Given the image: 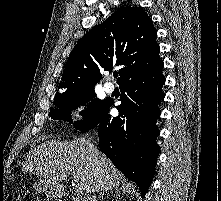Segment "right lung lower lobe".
Masks as SVG:
<instances>
[{
	"instance_id": "98d812e1",
	"label": "right lung lower lobe",
	"mask_w": 221,
	"mask_h": 201,
	"mask_svg": "<svg viewBox=\"0 0 221 201\" xmlns=\"http://www.w3.org/2000/svg\"><path fill=\"white\" fill-rule=\"evenodd\" d=\"M162 68L160 61L148 71L121 82L119 116L112 118L108 114L113 104L109 101L97 123L82 131L98 127L100 150L138 185L142 197L151 184L160 150L156 143L160 134L156 120L161 114L158 104L165 97Z\"/></svg>"
}]
</instances>
